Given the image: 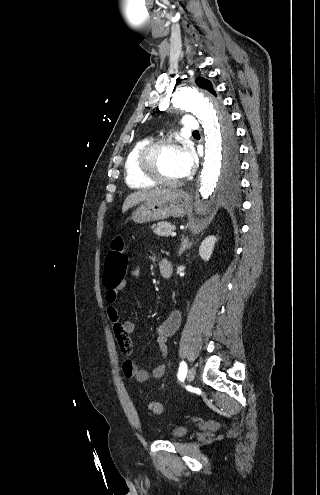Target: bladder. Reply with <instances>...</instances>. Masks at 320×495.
<instances>
[{
	"label": "bladder",
	"mask_w": 320,
	"mask_h": 495,
	"mask_svg": "<svg viewBox=\"0 0 320 495\" xmlns=\"http://www.w3.org/2000/svg\"><path fill=\"white\" fill-rule=\"evenodd\" d=\"M189 432V426L188 425H178L173 427L169 432H168V438L170 439H180L187 435Z\"/></svg>",
	"instance_id": "31cf9c89"
}]
</instances>
